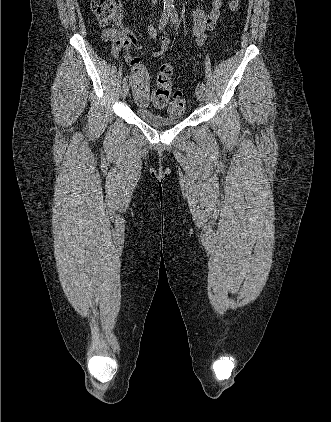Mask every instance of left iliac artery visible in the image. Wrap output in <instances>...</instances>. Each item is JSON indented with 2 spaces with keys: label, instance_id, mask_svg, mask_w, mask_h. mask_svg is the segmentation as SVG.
Instances as JSON below:
<instances>
[{
  "label": "left iliac artery",
  "instance_id": "obj_1",
  "mask_svg": "<svg viewBox=\"0 0 331 422\" xmlns=\"http://www.w3.org/2000/svg\"><path fill=\"white\" fill-rule=\"evenodd\" d=\"M170 16H171V21L173 22V24H177L178 23V14L176 11H171L170 12ZM200 87L205 90V84L203 82H201Z\"/></svg>",
  "mask_w": 331,
  "mask_h": 422
}]
</instances>
